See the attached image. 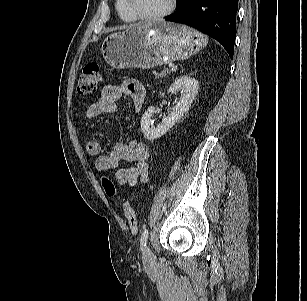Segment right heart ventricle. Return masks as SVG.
Masks as SVG:
<instances>
[{"label": "right heart ventricle", "instance_id": "1", "mask_svg": "<svg viewBox=\"0 0 307 301\" xmlns=\"http://www.w3.org/2000/svg\"><path fill=\"white\" fill-rule=\"evenodd\" d=\"M116 10L120 16V18L127 22L132 23L135 22L137 19L132 14L131 10L129 9V6L127 4V0H116Z\"/></svg>", "mask_w": 307, "mask_h": 301}]
</instances>
